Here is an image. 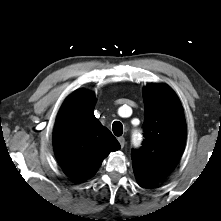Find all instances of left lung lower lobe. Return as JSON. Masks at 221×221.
<instances>
[{
  "instance_id": "1",
  "label": "left lung lower lobe",
  "mask_w": 221,
  "mask_h": 221,
  "mask_svg": "<svg viewBox=\"0 0 221 221\" xmlns=\"http://www.w3.org/2000/svg\"><path fill=\"white\" fill-rule=\"evenodd\" d=\"M134 173L139 185L143 188H152L157 182L145 177L140 171L134 169Z\"/></svg>"
}]
</instances>
